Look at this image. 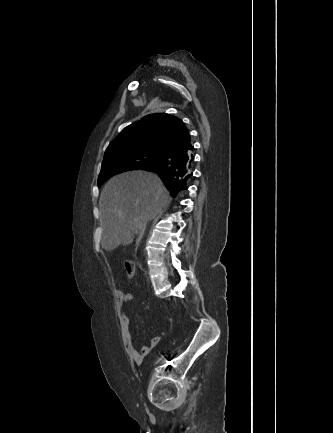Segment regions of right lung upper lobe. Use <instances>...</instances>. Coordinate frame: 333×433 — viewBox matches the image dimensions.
I'll use <instances>...</instances> for the list:
<instances>
[{
    "instance_id": "1",
    "label": "right lung upper lobe",
    "mask_w": 333,
    "mask_h": 433,
    "mask_svg": "<svg viewBox=\"0 0 333 433\" xmlns=\"http://www.w3.org/2000/svg\"><path fill=\"white\" fill-rule=\"evenodd\" d=\"M191 145L183 121L167 113H155L124 128L109 144L105 155L126 148H156L166 153Z\"/></svg>"
}]
</instances>
